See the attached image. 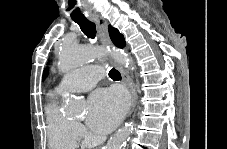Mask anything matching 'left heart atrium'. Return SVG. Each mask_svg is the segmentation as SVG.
<instances>
[{
    "label": "left heart atrium",
    "instance_id": "obj_1",
    "mask_svg": "<svg viewBox=\"0 0 227 149\" xmlns=\"http://www.w3.org/2000/svg\"><path fill=\"white\" fill-rule=\"evenodd\" d=\"M89 127L97 133H107L120 121L126 108L124 94L116 89H99L89 100Z\"/></svg>",
    "mask_w": 227,
    "mask_h": 149
}]
</instances>
